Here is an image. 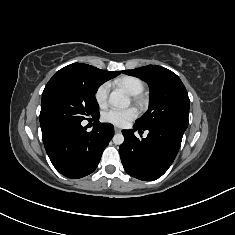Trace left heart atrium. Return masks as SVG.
Here are the masks:
<instances>
[{
	"mask_svg": "<svg viewBox=\"0 0 235 235\" xmlns=\"http://www.w3.org/2000/svg\"><path fill=\"white\" fill-rule=\"evenodd\" d=\"M138 112L134 108H117L112 107L103 114L104 121L115 126H126L130 121L134 120Z\"/></svg>",
	"mask_w": 235,
	"mask_h": 235,
	"instance_id": "1",
	"label": "left heart atrium"
}]
</instances>
